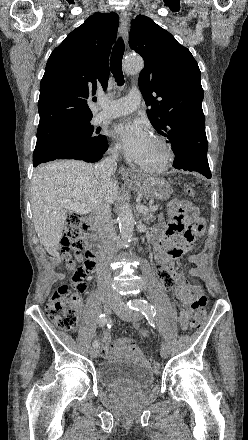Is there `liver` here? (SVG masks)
Returning <instances> with one entry per match:
<instances>
[{"label": "liver", "instance_id": "liver-1", "mask_svg": "<svg viewBox=\"0 0 248 440\" xmlns=\"http://www.w3.org/2000/svg\"><path fill=\"white\" fill-rule=\"evenodd\" d=\"M30 195L39 241L51 256L60 259L57 247L67 220L61 200L77 201L91 211L101 204L116 201L118 183L113 178L96 175L91 164L74 160L53 161L35 169Z\"/></svg>", "mask_w": 248, "mask_h": 440}]
</instances>
